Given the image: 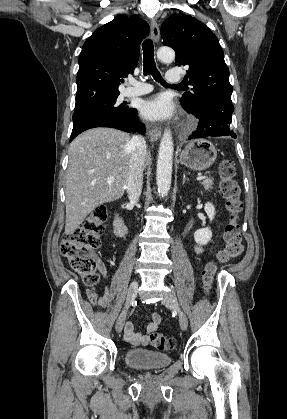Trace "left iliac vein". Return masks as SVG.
I'll use <instances>...</instances> for the list:
<instances>
[{
	"label": "left iliac vein",
	"instance_id": "obj_1",
	"mask_svg": "<svg viewBox=\"0 0 287 419\" xmlns=\"http://www.w3.org/2000/svg\"><path fill=\"white\" fill-rule=\"evenodd\" d=\"M162 304L166 307L175 309L179 314V323L181 329L184 331L188 326V319L184 312L180 309L175 292L171 290L166 298L162 300Z\"/></svg>",
	"mask_w": 287,
	"mask_h": 419
}]
</instances>
